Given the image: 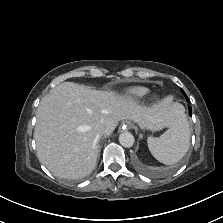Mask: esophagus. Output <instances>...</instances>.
Listing matches in <instances>:
<instances>
[{
	"mask_svg": "<svg viewBox=\"0 0 223 223\" xmlns=\"http://www.w3.org/2000/svg\"><path fill=\"white\" fill-rule=\"evenodd\" d=\"M130 127H131V124L129 122H124L121 126L123 130H128L130 129Z\"/></svg>",
	"mask_w": 223,
	"mask_h": 223,
	"instance_id": "34e87169",
	"label": "esophagus"
}]
</instances>
